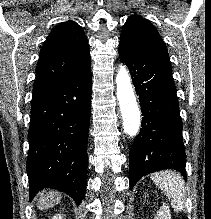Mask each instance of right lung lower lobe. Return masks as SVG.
I'll use <instances>...</instances> for the list:
<instances>
[{
  "mask_svg": "<svg viewBox=\"0 0 211 219\" xmlns=\"http://www.w3.org/2000/svg\"><path fill=\"white\" fill-rule=\"evenodd\" d=\"M91 84L89 63L33 94L26 165L30 201L48 187L81 203L86 191Z\"/></svg>",
  "mask_w": 211,
  "mask_h": 219,
  "instance_id": "98d812e1",
  "label": "right lung lower lobe"
}]
</instances>
